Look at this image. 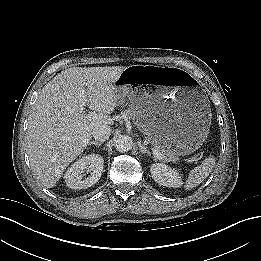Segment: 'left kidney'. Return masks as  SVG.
<instances>
[{"instance_id":"1","label":"left kidney","mask_w":261,"mask_h":261,"mask_svg":"<svg viewBox=\"0 0 261 261\" xmlns=\"http://www.w3.org/2000/svg\"><path fill=\"white\" fill-rule=\"evenodd\" d=\"M150 171L154 181L160 185L173 188H178L182 185V177L179 172L166 164H153Z\"/></svg>"}]
</instances>
